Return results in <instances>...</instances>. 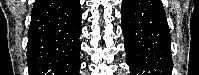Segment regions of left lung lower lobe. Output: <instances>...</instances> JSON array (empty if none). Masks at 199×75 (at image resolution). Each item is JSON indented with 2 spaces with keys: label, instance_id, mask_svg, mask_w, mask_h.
Here are the masks:
<instances>
[{
  "label": "left lung lower lobe",
  "instance_id": "obj_1",
  "mask_svg": "<svg viewBox=\"0 0 199 75\" xmlns=\"http://www.w3.org/2000/svg\"><path fill=\"white\" fill-rule=\"evenodd\" d=\"M122 32L132 75H171L170 30L160 0H122Z\"/></svg>",
  "mask_w": 199,
  "mask_h": 75
}]
</instances>
